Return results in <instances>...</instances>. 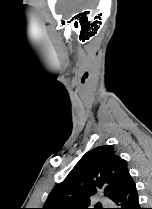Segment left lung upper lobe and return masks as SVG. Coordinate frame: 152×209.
<instances>
[{
	"label": "left lung upper lobe",
	"mask_w": 152,
	"mask_h": 209,
	"mask_svg": "<svg viewBox=\"0 0 152 209\" xmlns=\"http://www.w3.org/2000/svg\"><path fill=\"white\" fill-rule=\"evenodd\" d=\"M129 177L127 163L112 146L96 147L86 152L65 180L51 191L42 209H89L92 195L103 192L112 200Z\"/></svg>",
	"instance_id": "5c2ea615"
}]
</instances>
